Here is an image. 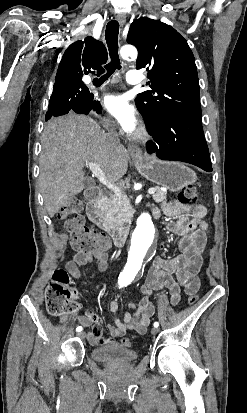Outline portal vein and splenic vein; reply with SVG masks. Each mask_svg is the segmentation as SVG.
Here are the masks:
<instances>
[{"label":"portal vein and splenic vein","instance_id":"portal-vein-and-splenic-vein-1","mask_svg":"<svg viewBox=\"0 0 247 413\" xmlns=\"http://www.w3.org/2000/svg\"><path fill=\"white\" fill-rule=\"evenodd\" d=\"M87 166H89L91 172H93V176H96L102 184H106L107 188H111L115 194H122V188L120 186H116V184H113V182H110L108 180L106 174H104L103 170H101L99 164H96V162H86ZM149 194H154L156 192V188H148Z\"/></svg>","mask_w":247,"mask_h":413}]
</instances>
